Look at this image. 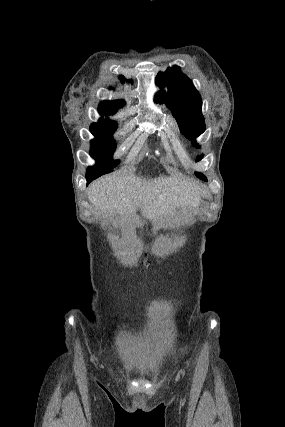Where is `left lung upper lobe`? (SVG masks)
Returning <instances> with one entry per match:
<instances>
[{
	"mask_svg": "<svg viewBox=\"0 0 285 427\" xmlns=\"http://www.w3.org/2000/svg\"><path fill=\"white\" fill-rule=\"evenodd\" d=\"M156 85L161 88L155 94V103H165L176 119L180 131L192 141L196 148V138L205 131L204 118L201 112L202 100L199 92L192 81L185 76L178 66L168 68L165 72H159L156 77ZM167 87L166 92L163 88ZM203 155L197 156L200 161ZM196 176L207 181L206 177L199 172Z\"/></svg>",
	"mask_w": 285,
	"mask_h": 427,
	"instance_id": "5c2ea615",
	"label": "left lung upper lobe"
}]
</instances>
